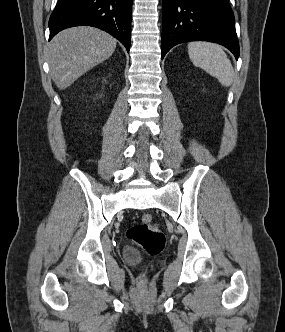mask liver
Instances as JSON below:
<instances>
[{"label":"liver","instance_id":"obj_1","mask_svg":"<svg viewBox=\"0 0 285 332\" xmlns=\"http://www.w3.org/2000/svg\"><path fill=\"white\" fill-rule=\"evenodd\" d=\"M116 39L108 33L87 26L59 32L48 45L50 73L61 90L107 60L116 49Z\"/></svg>","mask_w":285,"mask_h":332}]
</instances>
